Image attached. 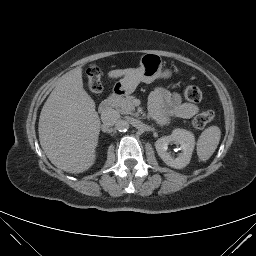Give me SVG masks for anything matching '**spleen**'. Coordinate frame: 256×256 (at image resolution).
<instances>
[{"label": "spleen", "mask_w": 256, "mask_h": 256, "mask_svg": "<svg viewBox=\"0 0 256 256\" xmlns=\"http://www.w3.org/2000/svg\"><path fill=\"white\" fill-rule=\"evenodd\" d=\"M220 138L221 130L218 126H210L201 133L197 142V155L201 161H206L213 155Z\"/></svg>", "instance_id": "3e777b00"}]
</instances>
